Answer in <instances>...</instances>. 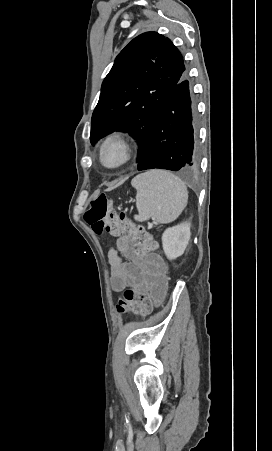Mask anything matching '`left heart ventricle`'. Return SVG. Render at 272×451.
<instances>
[{"label":"left heart ventricle","mask_w":272,"mask_h":451,"mask_svg":"<svg viewBox=\"0 0 272 451\" xmlns=\"http://www.w3.org/2000/svg\"><path fill=\"white\" fill-rule=\"evenodd\" d=\"M121 161V155L116 150H108L104 154V162L109 166H115Z\"/></svg>","instance_id":"b2bd125f"}]
</instances>
